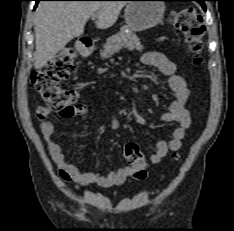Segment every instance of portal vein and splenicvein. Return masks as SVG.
<instances>
[{
    "label": "portal vein and splenic vein",
    "mask_w": 234,
    "mask_h": 231,
    "mask_svg": "<svg viewBox=\"0 0 234 231\" xmlns=\"http://www.w3.org/2000/svg\"><path fill=\"white\" fill-rule=\"evenodd\" d=\"M98 17V14H92V19L95 20Z\"/></svg>",
    "instance_id": "18ae733b"
}]
</instances>
